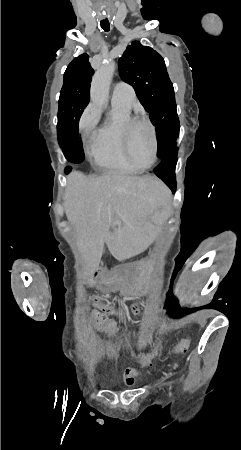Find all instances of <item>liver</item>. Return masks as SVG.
I'll return each instance as SVG.
<instances>
[{
  "mask_svg": "<svg viewBox=\"0 0 241 450\" xmlns=\"http://www.w3.org/2000/svg\"><path fill=\"white\" fill-rule=\"evenodd\" d=\"M169 190L154 176H126L104 172L99 178L71 172L67 176L64 208L76 230L77 248L85 276H94L104 244L115 256L121 226L141 224L154 230L153 212L165 204Z\"/></svg>",
  "mask_w": 241,
  "mask_h": 450,
  "instance_id": "6515ba94",
  "label": "liver"
}]
</instances>
